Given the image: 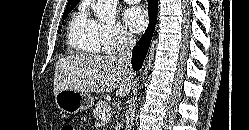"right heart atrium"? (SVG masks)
<instances>
[{
    "label": "right heart atrium",
    "instance_id": "right-heart-atrium-1",
    "mask_svg": "<svg viewBox=\"0 0 249 130\" xmlns=\"http://www.w3.org/2000/svg\"><path fill=\"white\" fill-rule=\"evenodd\" d=\"M101 32L105 51L108 53H117L125 50L134 42L132 35L118 23L102 24Z\"/></svg>",
    "mask_w": 249,
    "mask_h": 130
}]
</instances>
